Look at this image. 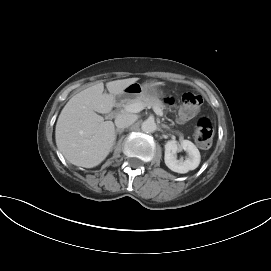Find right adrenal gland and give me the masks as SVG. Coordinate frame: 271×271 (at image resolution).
Segmentation results:
<instances>
[{"instance_id": "obj_1", "label": "right adrenal gland", "mask_w": 271, "mask_h": 271, "mask_svg": "<svg viewBox=\"0 0 271 271\" xmlns=\"http://www.w3.org/2000/svg\"><path fill=\"white\" fill-rule=\"evenodd\" d=\"M123 131H124L123 129H116L115 138L117 137V134H121Z\"/></svg>"}]
</instances>
